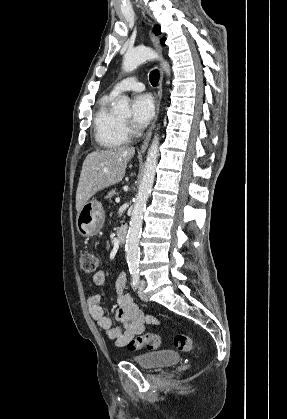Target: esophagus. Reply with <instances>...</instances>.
I'll use <instances>...</instances> for the list:
<instances>
[{
    "label": "esophagus",
    "instance_id": "obj_1",
    "mask_svg": "<svg viewBox=\"0 0 287 419\" xmlns=\"http://www.w3.org/2000/svg\"><path fill=\"white\" fill-rule=\"evenodd\" d=\"M149 34H150V38L152 40V43H153L154 47L156 48L158 53L161 54L162 48L160 46L159 39L152 33V31H150ZM162 82H163V70H162V68H160V79H159L158 90H157V99H156V116L154 118L152 126L150 127L149 131L147 132L145 140L143 141V143L141 145L140 152H144L147 149L149 141H150L151 136H152V131H153L155 122L158 118L160 101H161V97H162Z\"/></svg>",
    "mask_w": 287,
    "mask_h": 419
}]
</instances>
